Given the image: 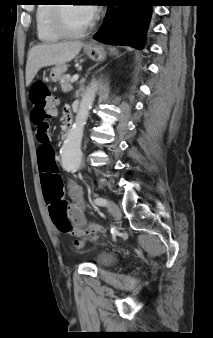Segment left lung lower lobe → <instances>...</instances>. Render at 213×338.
Wrapping results in <instances>:
<instances>
[{
    "label": "left lung lower lobe",
    "instance_id": "left-lung-lower-lobe-1",
    "mask_svg": "<svg viewBox=\"0 0 213 338\" xmlns=\"http://www.w3.org/2000/svg\"><path fill=\"white\" fill-rule=\"evenodd\" d=\"M154 0H111L104 22L94 39L142 49L152 16ZM113 6H121L114 11Z\"/></svg>",
    "mask_w": 213,
    "mask_h": 338
}]
</instances>
